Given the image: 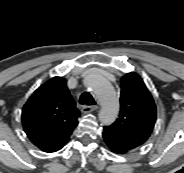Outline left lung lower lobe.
<instances>
[{
  "label": "left lung lower lobe",
  "instance_id": "1",
  "mask_svg": "<svg viewBox=\"0 0 184 173\" xmlns=\"http://www.w3.org/2000/svg\"><path fill=\"white\" fill-rule=\"evenodd\" d=\"M103 140L108 148L117 154H125L131 149L125 145L121 140L117 139L113 134L104 130L103 131Z\"/></svg>",
  "mask_w": 184,
  "mask_h": 173
}]
</instances>
